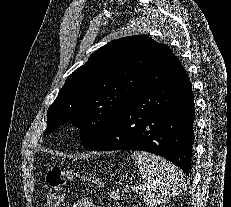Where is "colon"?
I'll list each match as a JSON object with an SVG mask.
<instances>
[{
	"label": "colon",
	"instance_id": "1",
	"mask_svg": "<svg viewBox=\"0 0 231 207\" xmlns=\"http://www.w3.org/2000/svg\"><path fill=\"white\" fill-rule=\"evenodd\" d=\"M76 177L78 175L74 172L63 171L58 167L49 168L46 174L49 191L44 207H65L66 185Z\"/></svg>",
	"mask_w": 231,
	"mask_h": 207
}]
</instances>
